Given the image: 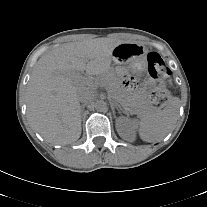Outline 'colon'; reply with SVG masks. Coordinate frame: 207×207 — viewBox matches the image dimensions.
<instances>
[{
  "instance_id": "1",
  "label": "colon",
  "mask_w": 207,
  "mask_h": 207,
  "mask_svg": "<svg viewBox=\"0 0 207 207\" xmlns=\"http://www.w3.org/2000/svg\"><path fill=\"white\" fill-rule=\"evenodd\" d=\"M147 63L150 75L149 83L153 88L151 102L156 109H161L169 100L167 78L170 75V70L157 52L148 54Z\"/></svg>"
}]
</instances>
